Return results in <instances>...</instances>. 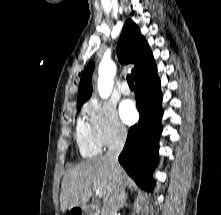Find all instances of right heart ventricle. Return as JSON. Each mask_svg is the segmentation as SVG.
<instances>
[{"label": "right heart ventricle", "instance_id": "obj_1", "mask_svg": "<svg viewBox=\"0 0 221 215\" xmlns=\"http://www.w3.org/2000/svg\"><path fill=\"white\" fill-rule=\"evenodd\" d=\"M76 141L81 154L85 157L94 156L100 152V145L95 140L91 128L80 121L76 131Z\"/></svg>", "mask_w": 221, "mask_h": 215}]
</instances>
